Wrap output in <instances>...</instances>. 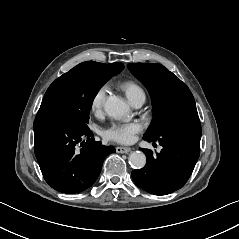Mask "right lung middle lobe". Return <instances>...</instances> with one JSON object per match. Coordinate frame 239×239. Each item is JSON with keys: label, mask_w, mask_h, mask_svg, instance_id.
I'll list each match as a JSON object with an SVG mask.
<instances>
[{"label": "right lung middle lobe", "mask_w": 239, "mask_h": 239, "mask_svg": "<svg viewBox=\"0 0 239 239\" xmlns=\"http://www.w3.org/2000/svg\"><path fill=\"white\" fill-rule=\"evenodd\" d=\"M110 78L104 72L75 66L49 86L35 119L62 117L87 128L93 100Z\"/></svg>", "instance_id": "dd1d6c3e"}]
</instances>
